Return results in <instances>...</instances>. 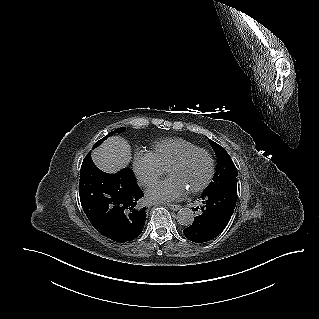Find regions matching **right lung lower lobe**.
Segmentation results:
<instances>
[{
    "label": "right lung lower lobe",
    "instance_id": "obj_1",
    "mask_svg": "<svg viewBox=\"0 0 319 319\" xmlns=\"http://www.w3.org/2000/svg\"><path fill=\"white\" fill-rule=\"evenodd\" d=\"M79 194L82 208L97 231L116 242L134 240L143 230L144 196L129 168L116 174L98 169L88 153L80 170Z\"/></svg>",
    "mask_w": 319,
    "mask_h": 319
}]
</instances>
